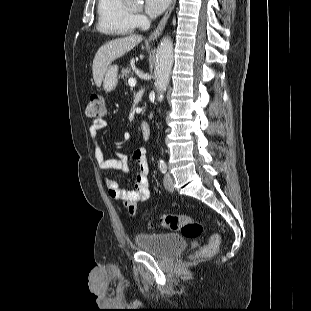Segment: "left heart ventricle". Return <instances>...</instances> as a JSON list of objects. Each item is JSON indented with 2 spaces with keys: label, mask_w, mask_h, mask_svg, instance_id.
I'll use <instances>...</instances> for the list:
<instances>
[{
  "label": "left heart ventricle",
  "mask_w": 311,
  "mask_h": 311,
  "mask_svg": "<svg viewBox=\"0 0 311 311\" xmlns=\"http://www.w3.org/2000/svg\"><path fill=\"white\" fill-rule=\"evenodd\" d=\"M131 8H132V9H137L138 6H137L136 4H133V5H131Z\"/></svg>",
  "instance_id": "b2bd125f"
}]
</instances>
